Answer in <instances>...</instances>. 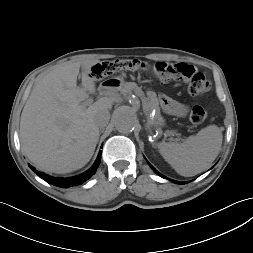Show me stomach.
Here are the masks:
<instances>
[{
  "label": "stomach",
  "instance_id": "1",
  "mask_svg": "<svg viewBox=\"0 0 253 253\" xmlns=\"http://www.w3.org/2000/svg\"><path fill=\"white\" fill-rule=\"evenodd\" d=\"M113 84H114L113 86L106 85L105 87L110 90L118 89L124 84V81L122 78H115V81L113 82Z\"/></svg>",
  "mask_w": 253,
  "mask_h": 253
}]
</instances>
